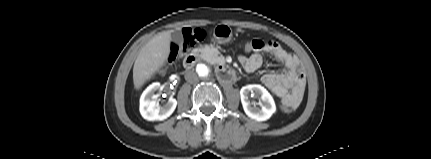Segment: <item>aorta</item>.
Instances as JSON below:
<instances>
[{"label":"aorta","mask_w":431,"mask_h":159,"mask_svg":"<svg viewBox=\"0 0 431 159\" xmlns=\"http://www.w3.org/2000/svg\"><path fill=\"white\" fill-rule=\"evenodd\" d=\"M196 71L200 77L207 78L210 75L211 69L208 64L199 63L196 66Z\"/></svg>","instance_id":"762f6f07"}]
</instances>
